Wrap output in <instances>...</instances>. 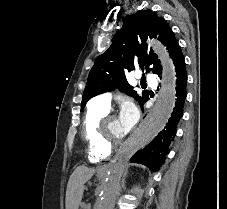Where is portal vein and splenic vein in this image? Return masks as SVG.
Masks as SVG:
<instances>
[{
	"label": "portal vein and splenic vein",
	"mask_w": 227,
	"mask_h": 209,
	"mask_svg": "<svg viewBox=\"0 0 227 209\" xmlns=\"http://www.w3.org/2000/svg\"><path fill=\"white\" fill-rule=\"evenodd\" d=\"M91 205H90V203L88 202V203H86L85 204V209H90L91 207H90Z\"/></svg>",
	"instance_id": "1"
}]
</instances>
